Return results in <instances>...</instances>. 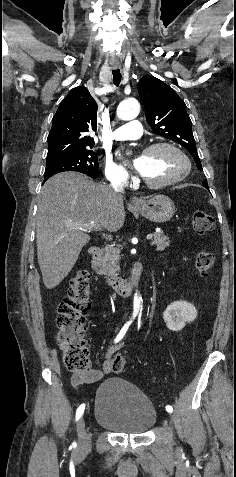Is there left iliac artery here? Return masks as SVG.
Instances as JSON below:
<instances>
[{
	"label": "left iliac artery",
	"instance_id": "1",
	"mask_svg": "<svg viewBox=\"0 0 236 477\" xmlns=\"http://www.w3.org/2000/svg\"><path fill=\"white\" fill-rule=\"evenodd\" d=\"M166 411H168V412H169V411H172V412H173V408H172V406H170V405H167V406H166Z\"/></svg>",
	"mask_w": 236,
	"mask_h": 477
}]
</instances>
